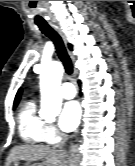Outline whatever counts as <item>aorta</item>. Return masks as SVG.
I'll return each mask as SVG.
<instances>
[{"mask_svg":"<svg viewBox=\"0 0 135 166\" xmlns=\"http://www.w3.org/2000/svg\"><path fill=\"white\" fill-rule=\"evenodd\" d=\"M62 76L63 66L59 62H52L42 69L40 74L41 109L39 113L43 118H53L60 113Z\"/></svg>","mask_w":135,"mask_h":166,"instance_id":"1","label":"aorta"}]
</instances>
